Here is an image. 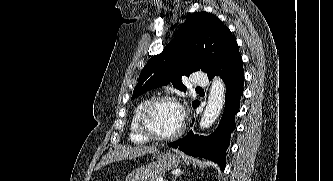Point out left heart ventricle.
Here are the masks:
<instances>
[{
	"label": "left heart ventricle",
	"instance_id": "b2bd125f",
	"mask_svg": "<svg viewBox=\"0 0 333 181\" xmlns=\"http://www.w3.org/2000/svg\"><path fill=\"white\" fill-rule=\"evenodd\" d=\"M148 122L155 133L160 135L171 134L182 124L181 108L171 102H161L151 111Z\"/></svg>",
	"mask_w": 333,
	"mask_h": 181
}]
</instances>
